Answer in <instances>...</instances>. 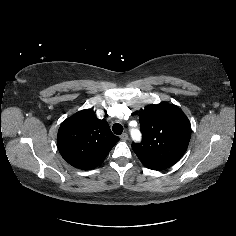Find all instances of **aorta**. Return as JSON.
<instances>
[{
    "label": "aorta",
    "instance_id": "762f6f07",
    "mask_svg": "<svg viewBox=\"0 0 236 236\" xmlns=\"http://www.w3.org/2000/svg\"><path fill=\"white\" fill-rule=\"evenodd\" d=\"M132 137L135 139V140H139L141 138V134L138 130H132Z\"/></svg>",
    "mask_w": 236,
    "mask_h": 236
}]
</instances>
